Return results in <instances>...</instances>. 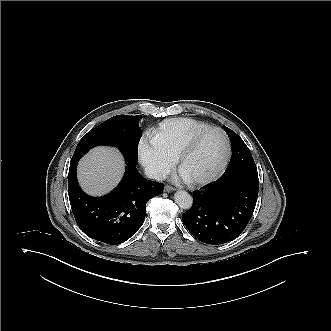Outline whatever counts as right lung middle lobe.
Here are the masks:
<instances>
[{"label": "right lung middle lobe", "mask_w": 331, "mask_h": 331, "mask_svg": "<svg viewBox=\"0 0 331 331\" xmlns=\"http://www.w3.org/2000/svg\"><path fill=\"white\" fill-rule=\"evenodd\" d=\"M140 119V115H118L106 120L84 135L72 159L81 158L95 146L110 145L117 147L124 154L126 162L137 165V148L142 134L139 128Z\"/></svg>", "instance_id": "right-lung-middle-lobe-1"}]
</instances>
